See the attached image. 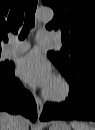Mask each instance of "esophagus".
Here are the masks:
<instances>
[{"instance_id":"obj_1","label":"esophagus","mask_w":95,"mask_h":130,"mask_svg":"<svg viewBox=\"0 0 95 130\" xmlns=\"http://www.w3.org/2000/svg\"><path fill=\"white\" fill-rule=\"evenodd\" d=\"M34 99L37 105V113L38 116L40 117L42 110H43V101L34 93Z\"/></svg>"}]
</instances>
